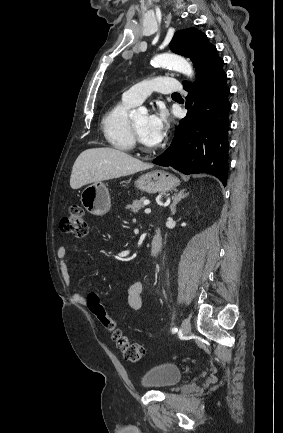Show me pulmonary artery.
<instances>
[{
    "label": "pulmonary artery",
    "instance_id": "e3ab8cb5",
    "mask_svg": "<svg viewBox=\"0 0 283 433\" xmlns=\"http://www.w3.org/2000/svg\"><path fill=\"white\" fill-rule=\"evenodd\" d=\"M154 86L153 81L147 78L145 81L137 83L129 90H127L123 98L133 104L137 105L143 102V100L148 97L152 91L155 92H182L184 86L182 83H178L176 78H163L160 72L154 75Z\"/></svg>",
    "mask_w": 283,
    "mask_h": 433
}]
</instances>
